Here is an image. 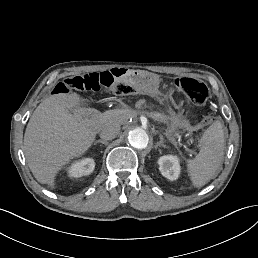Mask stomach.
Instances as JSON below:
<instances>
[{"label":"stomach","mask_w":258,"mask_h":258,"mask_svg":"<svg viewBox=\"0 0 258 258\" xmlns=\"http://www.w3.org/2000/svg\"><path fill=\"white\" fill-rule=\"evenodd\" d=\"M139 76H140L141 78H143V79H146V78H148V77H149L148 75L143 74V73H140V74H139Z\"/></svg>","instance_id":"obj_1"}]
</instances>
